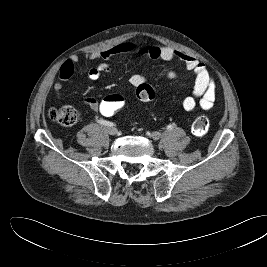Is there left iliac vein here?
Segmentation results:
<instances>
[{
  "mask_svg": "<svg viewBox=\"0 0 267 267\" xmlns=\"http://www.w3.org/2000/svg\"><path fill=\"white\" fill-rule=\"evenodd\" d=\"M150 137L153 139V140H159L161 138V133L157 132V131H154L150 134Z\"/></svg>",
  "mask_w": 267,
  "mask_h": 267,
  "instance_id": "1",
  "label": "left iliac vein"
}]
</instances>
